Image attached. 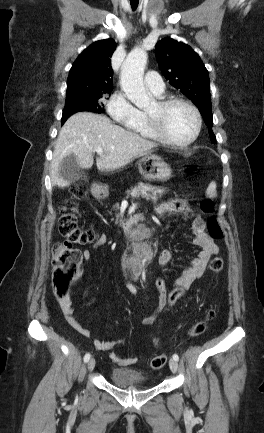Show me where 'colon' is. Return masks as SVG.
Wrapping results in <instances>:
<instances>
[{"label":"colon","instance_id":"obj_1","mask_svg":"<svg viewBox=\"0 0 264 433\" xmlns=\"http://www.w3.org/2000/svg\"><path fill=\"white\" fill-rule=\"evenodd\" d=\"M196 167H187L185 172L188 176L192 175ZM71 193L75 199H83L87 195V188L84 183H78L71 188ZM200 210L206 215H210L207 221V232L212 238H220L223 234L218 219L212 215L214 211L213 202L205 197L200 201ZM59 231L64 240L54 245L52 249L53 266V289L57 298H64L69 295L70 285L75 278L81 264V254L75 245H87L94 242L97 238L96 233L89 228L79 225V211L74 203L67 202L61 208L59 218ZM223 267V259L214 256L209 263V268L213 272H218ZM184 294L183 287L176 286L166 297V301L160 311L171 310ZM215 317V309L207 311L205 317L196 322L189 330L191 337L203 334L208 323ZM154 343H159V337L154 339ZM166 363V355L158 354L150 359L149 365L153 369H160Z\"/></svg>","mask_w":264,"mask_h":433}]
</instances>
